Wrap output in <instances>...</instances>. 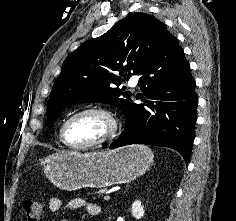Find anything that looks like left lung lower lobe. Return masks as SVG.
<instances>
[{
    "label": "left lung lower lobe",
    "mask_w": 236,
    "mask_h": 221,
    "mask_svg": "<svg viewBox=\"0 0 236 221\" xmlns=\"http://www.w3.org/2000/svg\"><path fill=\"white\" fill-rule=\"evenodd\" d=\"M140 75L138 85L147 100L131 102L124 113L123 134L109 148L163 146L178 151L188 163L197 118L196 84L183 49L168 31Z\"/></svg>",
    "instance_id": "1"
}]
</instances>
